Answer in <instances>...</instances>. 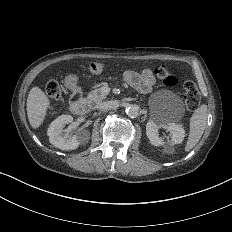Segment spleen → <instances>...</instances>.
<instances>
[{
	"instance_id": "spleen-1",
	"label": "spleen",
	"mask_w": 232,
	"mask_h": 232,
	"mask_svg": "<svg viewBox=\"0 0 232 232\" xmlns=\"http://www.w3.org/2000/svg\"><path fill=\"white\" fill-rule=\"evenodd\" d=\"M207 121V106L202 105L191 117L189 137L186 144V151L192 149L200 140Z\"/></svg>"
}]
</instances>
